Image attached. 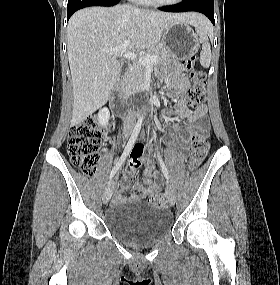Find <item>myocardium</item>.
<instances>
[{
  "label": "myocardium",
  "instance_id": "1",
  "mask_svg": "<svg viewBox=\"0 0 280 285\" xmlns=\"http://www.w3.org/2000/svg\"><path fill=\"white\" fill-rule=\"evenodd\" d=\"M181 1L182 0H169V1L149 0L150 3L161 7L173 6L180 3Z\"/></svg>",
  "mask_w": 280,
  "mask_h": 285
}]
</instances>
